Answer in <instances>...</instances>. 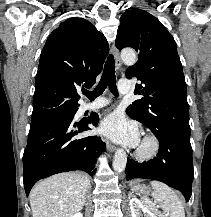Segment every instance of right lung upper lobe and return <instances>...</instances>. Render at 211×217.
<instances>
[{"mask_svg": "<svg viewBox=\"0 0 211 217\" xmlns=\"http://www.w3.org/2000/svg\"><path fill=\"white\" fill-rule=\"evenodd\" d=\"M108 51L104 35L86 19L71 18L61 23L41 52L31 120L77 109V90L95 84Z\"/></svg>", "mask_w": 211, "mask_h": 217, "instance_id": "1", "label": "right lung upper lobe"}]
</instances>
